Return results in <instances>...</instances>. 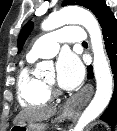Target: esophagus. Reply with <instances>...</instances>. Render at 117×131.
I'll list each match as a JSON object with an SVG mask.
<instances>
[{
    "label": "esophagus",
    "mask_w": 117,
    "mask_h": 131,
    "mask_svg": "<svg viewBox=\"0 0 117 131\" xmlns=\"http://www.w3.org/2000/svg\"><path fill=\"white\" fill-rule=\"evenodd\" d=\"M92 94V86L91 85H86L82 91H81V95L83 97H90ZM74 103V99L70 100L69 102H67L66 104V108L67 109H71L72 108V105Z\"/></svg>",
    "instance_id": "obj_1"
}]
</instances>
